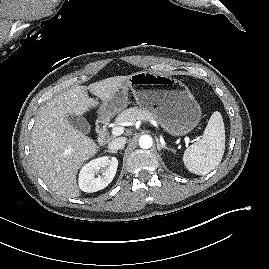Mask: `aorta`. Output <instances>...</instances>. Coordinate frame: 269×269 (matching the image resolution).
<instances>
[{
	"mask_svg": "<svg viewBox=\"0 0 269 269\" xmlns=\"http://www.w3.org/2000/svg\"><path fill=\"white\" fill-rule=\"evenodd\" d=\"M153 140L149 135H143L139 139V146L143 149H149L152 147Z\"/></svg>",
	"mask_w": 269,
	"mask_h": 269,
	"instance_id": "1",
	"label": "aorta"
}]
</instances>
